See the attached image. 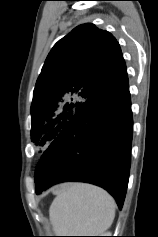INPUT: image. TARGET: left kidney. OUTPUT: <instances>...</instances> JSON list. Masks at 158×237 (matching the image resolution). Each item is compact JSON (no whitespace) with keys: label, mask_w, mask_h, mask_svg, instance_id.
I'll return each mask as SVG.
<instances>
[{"label":"left kidney","mask_w":158,"mask_h":237,"mask_svg":"<svg viewBox=\"0 0 158 237\" xmlns=\"http://www.w3.org/2000/svg\"><path fill=\"white\" fill-rule=\"evenodd\" d=\"M103 236H111V234H109V233L108 234H103Z\"/></svg>","instance_id":"left-kidney-1"}]
</instances>
